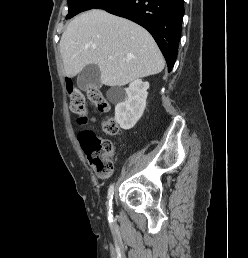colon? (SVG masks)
Returning a JSON list of instances; mask_svg holds the SVG:
<instances>
[{"instance_id":"obj_1","label":"colon","mask_w":248,"mask_h":258,"mask_svg":"<svg viewBox=\"0 0 248 258\" xmlns=\"http://www.w3.org/2000/svg\"><path fill=\"white\" fill-rule=\"evenodd\" d=\"M70 107L72 112L80 115L79 122L88 121L86 101L83 93L74 87L68 89ZM89 100L101 111L110 108L109 102L101 91L90 86L87 91ZM103 130L112 136L120 133V126L114 118H106L102 123ZM78 141L87 158L95 168L97 175L102 179L110 178L114 173L113 158L116 152V144L110 140L100 138L93 130H83L78 134Z\"/></svg>"}]
</instances>
